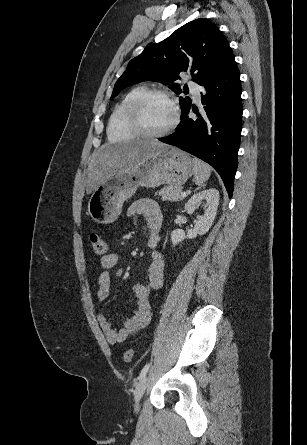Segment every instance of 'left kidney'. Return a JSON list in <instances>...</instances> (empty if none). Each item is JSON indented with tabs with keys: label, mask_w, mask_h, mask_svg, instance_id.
I'll return each instance as SVG.
<instances>
[{
	"label": "left kidney",
	"mask_w": 307,
	"mask_h": 445,
	"mask_svg": "<svg viewBox=\"0 0 307 445\" xmlns=\"http://www.w3.org/2000/svg\"><path fill=\"white\" fill-rule=\"evenodd\" d=\"M201 200H207V208H205L204 214L197 216L198 220H196L194 229H190L188 233H184L182 229L172 231L171 241L173 245H178V243H181L184 239H195L197 235H205V233H208L210 227H212L219 204V190H217V188H208V190H201V192L193 194L185 204V210H187L188 214L194 212L196 204L201 202Z\"/></svg>",
	"instance_id": "1"
}]
</instances>
